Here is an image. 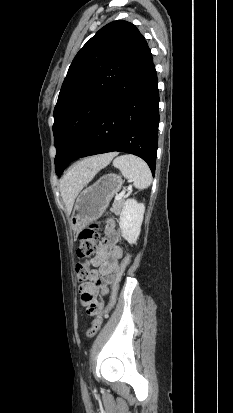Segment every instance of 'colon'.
<instances>
[{
  "mask_svg": "<svg viewBox=\"0 0 233 413\" xmlns=\"http://www.w3.org/2000/svg\"><path fill=\"white\" fill-rule=\"evenodd\" d=\"M99 228L100 226L97 222H91L80 232V235H79L80 246L77 249V255L79 258L90 259L96 254L97 243L100 240ZM130 260H131V257L128 255L124 258L123 262L120 265L118 277L115 283L113 284L112 293H111V297H110L108 305L104 309L101 308L97 310V308H92L90 304H88L91 310H97L95 313L96 314L95 318L93 319L91 326L86 332V335L88 338H92L98 333V331L100 330L103 324L104 318L108 315V313L112 309L115 303L116 297H117V293L119 289V281L123 273L125 272L127 266L129 265ZM76 272H77L78 280L80 282H86L87 280L90 279L93 270L90 264L79 263L76 265Z\"/></svg>",
  "mask_w": 233,
  "mask_h": 413,
  "instance_id": "obj_1",
  "label": "colon"
}]
</instances>
